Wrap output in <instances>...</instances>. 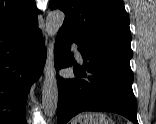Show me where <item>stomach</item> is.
Masks as SVG:
<instances>
[{
  "mask_svg": "<svg viewBox=\"0 0 156 124\" xmlns=\"http://www.w3.org/2000/svg\"><path fill=\"white\" fill-rule=\"evenodd\" d=\"M71 124H114L104 114H93L91 116H79Z\"/></svg>",
  "mask_w": 156,
  "mask_h": 124,
  "instance_id": "0dacf381",
  "label": "stomach"
}]
</instances>
